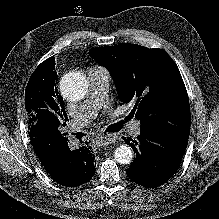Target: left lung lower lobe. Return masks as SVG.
<instances>
[{"instance_id": "1", "label": "left lung lower lobe", "mask_w": 219, "mask_h": 219, "mask_svg": "<svg viewBox=\"0 0 219 219\" xmlns=\"http://www.w3.org/2000/svg\"><path fill=\"white\" fill-rule=\"evenodd\" d=\"M123 139L136 152L127 175L146 188H156L176 173L188 143V140H174L151 132H140L135 141Z\"/></svg>"}]
</instances>
